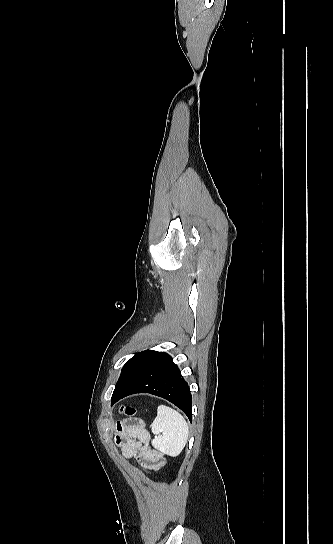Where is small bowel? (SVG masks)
Segmentation results:
<instances>
[{
	"label": "small bowel",
	"instance_id": "c3829d8e",
	"mask_svg": "<svg viewBox=\"0 0 333 544\" xmlns=\"http://www.w3.org/2000/svg\"><path fill=\"white\" fill-rule=\"evenodd\" d=\"M115 442L125 458L136 459L146 470H157L165 463L162 454L150 445V434L138 421L118 423Z\"/></svg>",
	"mask_w": 333,
	"mask_h": 544
}]
</instances>
